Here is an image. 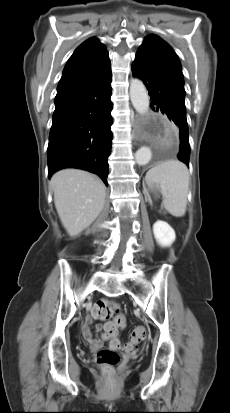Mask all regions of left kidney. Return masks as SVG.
Listing matches in <instances>:
<instances>
[{
	"mask_svg": "<svg viewBox=\"0 0 230 413\" xmlns=\"http://www.w3.org/2000/svg\"><path fill=\"white\" fill-rule=\"evenodd\" d=\"M153 233L156 241L162 247L172 245L176 238L173 228L167 222L161 220L153 225Z\"/></svg>",
	"mask_w": 230,
	"mask_h": 413,
	"instance_id": "obj_1",
	"label": "left kidney"
}]
</instances>
